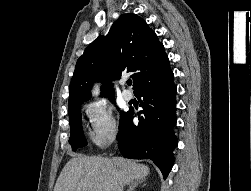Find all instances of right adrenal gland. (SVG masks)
Returning <instances> with one entry per match:
<instances>
[{
    "mask_svg": "<svg viewBox=\"0 0 251 191\" xmlns=\"http://www.w3.org/2000/svg\"><path fill=\"white\" fill-rule=\"evenodd\" d=\"M144 179H138V181H130L129 183V189L127 191H135V187H137L138 183H142Z\"/></svg>",
    "mask_w": 251,
    "mask_h": 191,
    "instance_id": "1",
    "label": "right adrenal gland"
}]
</instances>
